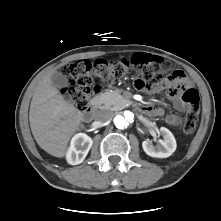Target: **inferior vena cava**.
<instances>
[{"instance_id": "obj_1", "label": "inferior vena cava", "mask_w": 221, "mask_h": 221, "mask_svg": "<svg viewBox=\"0 0 221 221\" xmlns=\"http://www.w3.org/2000/svg\"><path fill=\"white\" fill-rule=\"evenodd\" d=\"M112 117V112L109 110H99L96 112L95 119L101 123L109 121Z\"/></svg>"}]
</instances>
